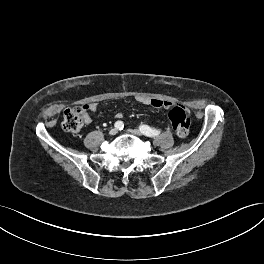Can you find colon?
Listing matches in <instances>:
<instances>
[{
  "label": "colon",
  "instance_id": "1",
  "mask_svg": "<svg viewBox=\"0 0 264 264\" xmlns=\"http://www.w3.org/2000/svg\"><path fill=\"white\" fill-rule=\"evenodd\" d=\"M87 110V106H76L66 109L62 121L63 128L68 132H79L83 128ZM169 119L179 137L184 138L188 135L191 120L184 107H173L169 112Z\"/></svg>",
  "mask_w": 264,
  "mask_h": 264
}]
</instances>
